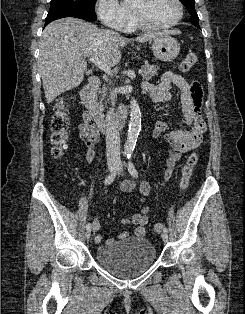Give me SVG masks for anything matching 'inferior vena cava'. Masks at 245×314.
I'll return each instance as SVG.
<instances>
[{
	"instance_id": "inferior-vena-cava-1",
	"label": "inferior vena cava",
	"mask_w": 245,
	"mask_h": 314,
	"mask_svg": "<svg viewBox=\"0 0 245 314\" xmlns=\"http://www.w3.org/2000/svg\"><path fill=\"white\" fill-rule=\"evenodd\" d=\"M114 105L115 103L112 102V108H110L106 115V155L108 161L120 162V138Z\"/></svg>"
}]
</instances>
